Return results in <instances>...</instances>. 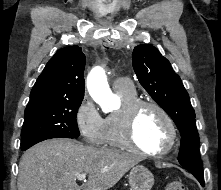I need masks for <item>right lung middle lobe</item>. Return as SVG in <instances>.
<instances>
[{
  "instance_id": "obj_1",
  "label": "right lung middle lobe",
  "mask_w": 221,
  "mask_h": 190,
  "mask_svg": "<svg viewBox=\"0 0 221 190\" xmlns=\"http://www.w3.org/2000/svg\"><path fill=\"white\" fill-rule=\"evenodd\" d=\"M81 102H45L28 105L21 131V149L50 138H77V112Z\"/></svg>"
}]
</instances>
